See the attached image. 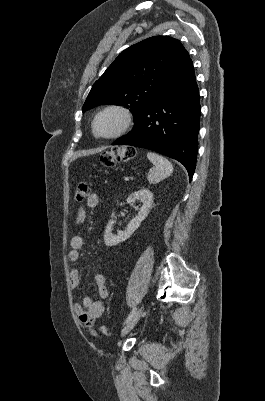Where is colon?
Instances as JSON below:
<instances>
[{"label": "colon", "instance_id": "colon-1", "mask_svg": "<svg viewBox=\"0 0 265 401\" xmlns=\"http://www.w3.org/2000/svg\"><path fill=\"white\" fill-rule=\"evenodd\" d=\"M135 156V150L130 147H118L106 151L101 156V162L107 167H113L121 161H127ZM91 195L90 186L86 182L78 184L75 191V198L78 202L87 200ZM100 331L104 334L108 333V328L105 326L100 327ZM93 334H96L92 330Z\"/></svg>", "mask_w": 265, "mask_h": 401}]
</instances>
